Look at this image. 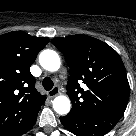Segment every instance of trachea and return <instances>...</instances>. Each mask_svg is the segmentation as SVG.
Instances as JSON below:
<instances>
[{"mask_svg": "<svg viewBox=\"0 0 136 136\" xmlns=\"http://www.w3.org/2000/svg\"><path fill=\"white\" fill-rule=\"evenodd\" d=\"M42 85L45 90L49 91L53 88V81L49 77H46L43 79Z\"/></svg>", "mask_w": 136, "mask_h": 136, "instance_id": "3493384b", "label": "trachea"}]
</instances>
